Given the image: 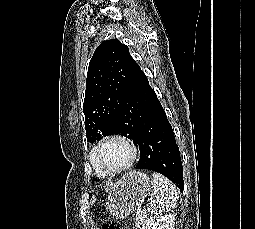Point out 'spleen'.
Masks as SVG:
<instances>
[{
  "instance_id": "spleen-1",
  "label": "spleen",
  "mask_w": 255,
  "mask_h": 229,
  "mask_svg": "<svg viewBox=\"0 0 255 229\" xmlns=\"http://www.w3.org/2000/svg\"><path fill=\"white\" fill-rule=\"evenodd\" d=\"M152 192L153 198L147 205L148 211L153 214H160L165 211H170L176 205L177 188L160 173L152 174Z\"/></svg>"
}]
</instances>
